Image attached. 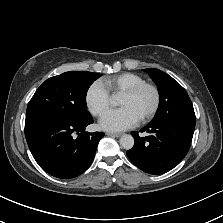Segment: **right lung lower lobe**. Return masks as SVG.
Listing matches in <instances>:
<instances>
[{"label":"right lung lower lobe","instance_id":"obj_1","mask_svg":"<svg viewBox=\"0 0 223 223\" xmlns=\"http://www.w3.org/2000/svg\"><path fill=\"white\" fill-rule=\"evenodd\" d=\"M84 123L52 121L25 127L29 149L40 167L62 179L74 178L91 164L103 132H85ZM73 133L78 137L75 139Z\"/></svg>","mask_w":223,"mask_h":223}]
</instances>
